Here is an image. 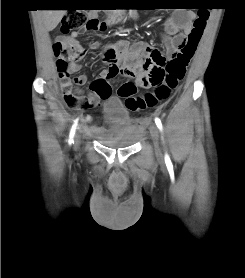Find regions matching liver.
Masks as SVG:
<instances>
[{
    "label": "liver",
    "mask_w": 245,
    "mask_h": 278,
    "mask_svg": "<svg viewBox=\"0 0 245 278\" xmlns=\"http://www.w3.org/2000/svg\"><path fill=\"white\" fill-rule=\"evenodd\" d=\"M66 10H43V23L48 31H52L57 27Z\"/></svg>",
    "instance_id": "obj_1"
}]
</instances>
